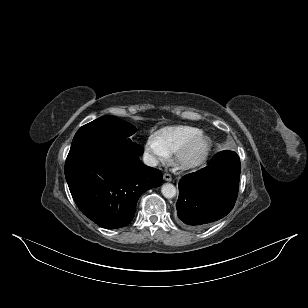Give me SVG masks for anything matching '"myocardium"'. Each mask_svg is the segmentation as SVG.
<instances>
[{"mask_svg":"<svg viewBox=\"0 0 308 308\" xmlns=\"http://www.w3.org/2000/svg\"><path fill=\"white\" fill-rule=\"evenodd\" d=\"M211 147V138L200 132L187 141L175 153V162L182 169L197 167L206 160L211 151Z\"/></svg>","mask_w":308,"mask_h":308,"instance_id":"1","label":"myocardium"}]
</instances>
